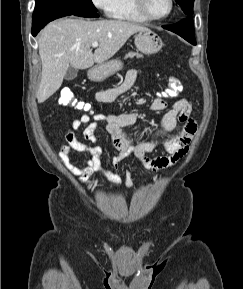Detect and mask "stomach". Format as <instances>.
Listing matches in <instances>:
<instances>
[{
  "label": "stomach",
  "instance_id": "stomach-1",
  "mask_svg": "<svg viewBox=\"0 0 243 289\" xmlns=\"http://www.w3.org/2000/svg\"><path fill=\"white\" fill-rule=\"evenodd\" d=\"M135 45L144 54H154L161 50L163 42L152 30L139 31L135 36ZM123 63L119 59L98 64L88 71V77L93 81H102L122 69Z\"/></svg>",
  "mask_w": 243,
  "mask_h": 289
}]
</instances>
